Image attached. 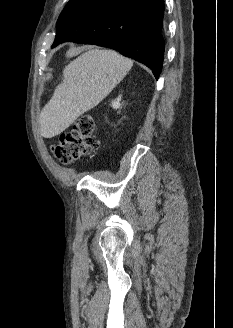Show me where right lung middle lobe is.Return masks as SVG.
Segmentation results:
<instances>
[{
  "label": "right lung middle lobe",
  "instance_id": "dd1d6c3e",
  "mask_svg": "<svg viewBox=\"0 0 233 328\" xmlns=\"http://www.w3.org/2000/svg\"><path fill=\"white\" fill-rule=\"evenodd\" d=\"M92 1L93 0H70L61 15L59 16L58 21L72 14L73 12L85 7Z\"/></svg>",
  "mask_w": 233,
  "mask_h": 328
}]
</instances>
